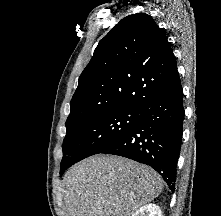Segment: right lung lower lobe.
I'll use <instances>...</instances> for the list:
<instances>
[{"mask_svg":"<svg viewBox=\"0 0 221 216\" xmlns=\"http://www.w3.org/2000/svg\"><path fill=\"white\" fill-rule=\"evenodd\" d=\"M184 115L183 89L177 76L140 107L135 126L101 153L151 166L174 192Z\"/></svg>","mask_w":221,"mask_h":216,"instance_id":"obj_1","label":"right lung lower lobe"}]
</instances>
